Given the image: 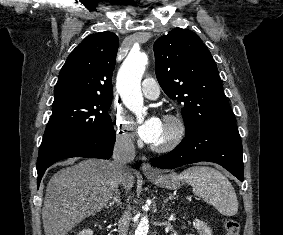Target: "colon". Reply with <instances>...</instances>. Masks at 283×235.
<instances>
[{"label":"colon","mask_w":283,"mask_h":235,"mask_svg":"<svg viewBox=\"0 0 283 235\" xmlns=\"http://www.w3.org/2000/svg\"><path fill=\"white\" fill-rule=\"evenodd\" d=\"M223 225L225 228V235H239L240 224L233 218H224Z\"/></svg>","instance_id":"1"}]
</instances>
